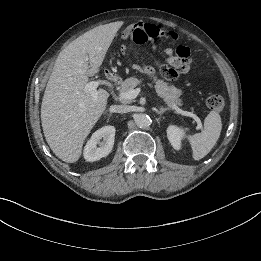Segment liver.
I'll list each match as a JSON object with an SVG mask.
<instances>
[{"instance_id":"liver-1","label":"liver","mask_w":261,"mask_h":261,"mask_svg":"<svg viewBox=\"0 0 261 261\" xmlns=\"http://www.w3.org/2000/svg\"><path fill=\"white\" fill-rule=\"evenodd\" d=\"M118 27H96L72 41L56 59L41 105L44 136L54 154L76 162L94 125L102 116L110 94L86 91L89 77L98 72ZM90 63V65H88Z\"/></svg>"}]
</instances>
